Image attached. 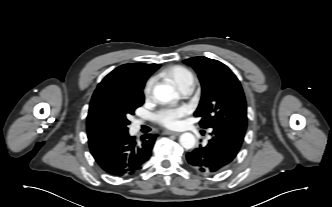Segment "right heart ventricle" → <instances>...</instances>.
<instances>
[{"mask_svg": "<svg viewBox=\"0 0 332 207\" xmlns=\"http://www.w3.org/2000/svg\"><path fill=\"white\" fill-rule=\"evenodd\" d=\"M162 76L169 79L179 90L192 85L194 77L185 66L173 65L162 71Z\"/></svg>", "mask_w": 332, "mask_h": 207, "instance_id": "obj_1", "label": "right heart ventricle"}]
</instances>
